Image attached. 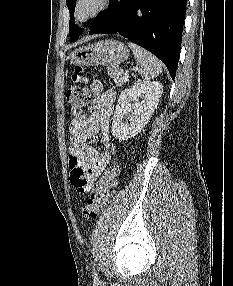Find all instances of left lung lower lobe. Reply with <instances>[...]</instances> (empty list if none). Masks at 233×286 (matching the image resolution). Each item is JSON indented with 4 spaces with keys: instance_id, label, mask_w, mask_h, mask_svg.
Listing matches in <instances>:
<instances>
[{
    "instance_id": "0a47b994",
    "label": "left lung lower lobe",
    "mask_w": 233,
    "mask_h": 286,
    "mask_svg": "<svg viewBox=\"0 0 233 286\" xmlns=\"http://www.w3.org/2000/svg\"><path fill=\"white\" fill-rule=\"evenodd\" d=\"M187 0H110L89 34L118 33L157 56L174 79Z\"/></svg>"
}]
</instances>
